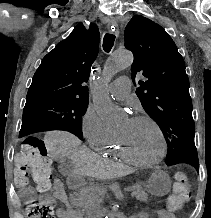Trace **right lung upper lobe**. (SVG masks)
Wrapping results in <instances>:
<instances>
[{
	"label": "right lung upper lobe",
	"mask_w": 211,
	"mask_h": 218,
	"mask_svg": "<svg viewBox=\"0 0 211 218\" xmlns=\"http://www.w3.org/2000/svg\"><path fill=\"white\" fill-rule=\"evenodd\" d=\"M99 31L79 23L71 34L48 53L34 74L26 103L43 99L88 101L87 82L97 57Z\"/></svg>",
	"instance_id": "obj_1"
}]
</instances>
